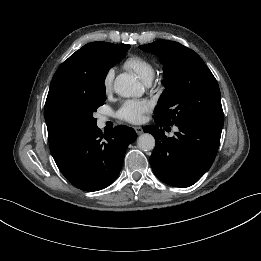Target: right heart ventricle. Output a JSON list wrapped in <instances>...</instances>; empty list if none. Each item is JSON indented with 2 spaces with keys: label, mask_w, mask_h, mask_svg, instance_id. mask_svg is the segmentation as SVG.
I'll return each instance as SVG.
<instances>
[{
  "label": "right heart ventricle",
  "mask_w": 261,
  "mask_h": 261,
  "mask_svg": "<svg viewBox=\"0 0 261 261\" xmlns=\"http://www.w3.org/2000/svg\"><path fill=\"white\" fill-rule=\"evenodd\" d=\"M124 66L134 72L145 83H149L154 78L155 66L146 57L132 55L125 61Z\"/></svg>",
  "instance_id": "e07e8e85"
}]
</instances>
